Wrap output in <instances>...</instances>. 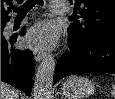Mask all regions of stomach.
I'll list each match as a JSON object with an SVG mask.
<instances>
[{"mask_svg": "<svg viewBox=\"0 0 115 99\" xmlns=\"http://www.w3.org/2000/svg\"><path fill=\"white\" fill-rule=\"evenodd\" d=\"M95 85L88 78L73 76L62 85V92L68 99H84L94 93Z\"/></svg>", "mask_w": 115, "mask_h": 99, "instance_id": "1", "label": "stomach"}]
</instances>
